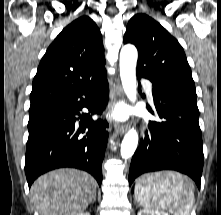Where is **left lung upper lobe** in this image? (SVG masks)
<instances>
[{
    "mask_svg": "<svg viewBox=\"0 0 221 215\" xmlns=\"http://www.w3.org/2000/svg\"><path fill=\"white\" fill-rule=\"evenodd\" d=\"M124 43L138 49L137 75L153 85L178 89L197 98L183 48L157 21L145 14L134 15L127 25Z\"/></svg>",
    "mask_w": 221,
    "mask_h": 215,
    "instance_id": "left-lung-upper-lobe-1",
    "label": "left lung upper lobe"
}]
</instances>
